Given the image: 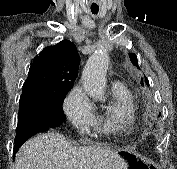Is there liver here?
<instances>
[{"label": "liver", "mask_w": 177, "mask_h": 169, "mask_svg": "<svg viewBox=\"0 0 177 169\" xmlns=\"http://www.w3.org/2000/svg\"><path fill=\"white\" fill-rule=\"evenodd\" d=\"M118 152L101 147H76L58 133L39 134L18 150L15 169H126Z\"/></svg>", "instance_id": "6515ba94"}]
</instances>
